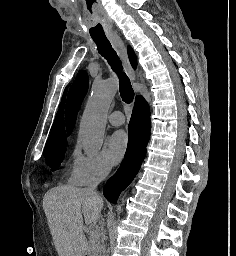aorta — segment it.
<instances>
[{"instance_id":"1","label":"aorta","mask_w":236,"mask_h":256,"mask_svg":"<svg viewBox=\"0 0 236 256\" xmlns=\"http://www.w3.org/2000/svg\"><path fill=\"white\" fill-rule=\"evenodd\" d=\"M117 89L118 84L114 78L93 84L80 122L79 137L84 145L96 149L101 147L108 108Z\"/></svg>"}]
</instances>
